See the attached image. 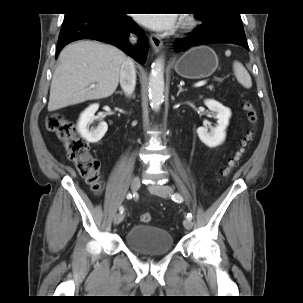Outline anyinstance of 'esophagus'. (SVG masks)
<instances>
[{
	"instance_id": "esophagus-1",
	"label": "esophagus",
	"mask_w": 303,
	"mask_h": 303,
	"mask_svg": "<svg viewBox=\"0 0 303 303\" xmlns=\"http://www.w3.org/2000/svg\"><path fill=\"white\" fill-rule=\"evenodd\" d=\"M150 43H151V46L155 53H158L161 50L163 43H162V40L158 36L151 34Z\"/></svg>"
}]
</instances>
